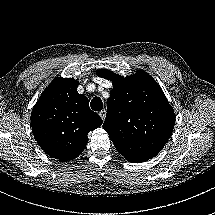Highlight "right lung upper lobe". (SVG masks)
<instances>
[{"instance_id": "right-lung-upper-lobe-1", "label": "right lung upper lobe", "mask_w": 215, "mask_h": 215, "mask_svg": "<svg viewBox=\"0 0 215 215\" xmlns=\"http://www.w3.org/2000/svg\"><path fill=\"white\" fill-rule=\"evenodd\" d=\"M73 78H56L41 94L31 114L32 133L49 156L60 161L80 155L88 133L102 125L89 100L77 92Z\"/></svg>"}]
</instances>
